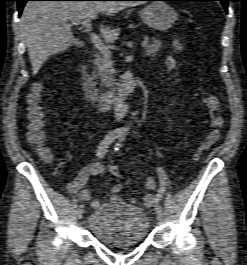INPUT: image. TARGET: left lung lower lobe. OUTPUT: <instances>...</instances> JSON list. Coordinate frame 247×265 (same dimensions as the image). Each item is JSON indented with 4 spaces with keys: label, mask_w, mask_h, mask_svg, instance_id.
I'll return each instance as SVG.
<instances>
[{
    "label": "left lung lower lobe",
    "mask_w": 247,
    "mask_h": 265,
    "mask_svg": "<svg viewBox=\"0 0 247 265\" xmlns=\"http://www.w3.org/2000/svg\"><path fill=\"white\" fill-rule=\"evenodd\" d=\"M132 1H181V0H132ZM192 1H220L225 12H228V2L231 0H192Z\"/></svg>",
    "instance_id": "left-lung-lower-lobe-1"
}]
</instances>
